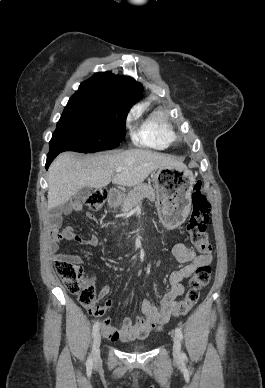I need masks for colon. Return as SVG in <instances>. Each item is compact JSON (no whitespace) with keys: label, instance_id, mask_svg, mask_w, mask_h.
<instances>
[{"label":"colon","instance_id":"colon-1","mask_svg":"<svg viewBox=\"0 0 265 388\" xmlns=\"http://www.w3.org/2000/svg\"><path fill=\"white\" fill-rule=\"evenodd\" d=\"M107 198L105 189L93 191L85 200L91 210H99ZM211 205L202 191L201 182L194 185L192 191V212L187 224V232L191 242L202 254H210L211 244L208 239L207 224L209 221ZM71 237V233H65ZM56 271L66 288L78 296V301L83 306L90 308L95 301V288L84 277L83 269L68 260L59 259L55 262ZM211 279V267L199 266L189 281L186 296L173 309V315L187 313L198 301L200 290L206 287Z\"/></svg>","mask_w":265,"mask_h":388}]
</instances>
